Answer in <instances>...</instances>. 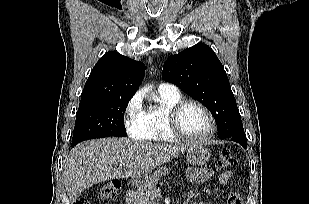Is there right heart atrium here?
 <instances>
[{"mask_svg": "<svg viewBox=\"0 0 309 204\" xmlns=\"http://www.w3.org/2000/svg\"><path fill=\"white\" fill-rule=\"evenodd\" d=\"M124 124L128 134L131 137H144V111L142 107V100L137 94L134 95L126 104L124 111Z\"/></svg>", "mask_w": 309, "mask_h": 204, "instance_id": "1", "label": "right heart atrium"}]
</instances>
